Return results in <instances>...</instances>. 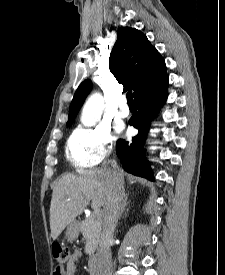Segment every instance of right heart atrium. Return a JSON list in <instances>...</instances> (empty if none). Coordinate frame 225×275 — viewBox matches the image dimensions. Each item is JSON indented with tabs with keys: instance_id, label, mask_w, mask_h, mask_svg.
Instances as JSON below:
<instances>
[{
	"instance_id": "right-heart-atrium-1",
	"label": "right heart atrium",
	"mask_w": 225,
	"mask_h": 275,
	"mask_svg": "<svg viewBox=\"0 0 225 275\" xmlns=\"http://www.w3.org/2000/svg\"><path fill=\"white\" fill-rule=\"evenodd\" d=\"M112 141V134L107 127L79 128L68 141L70 161L78 169H94L109 154Z\"/></svg>"
}]
</instances>
